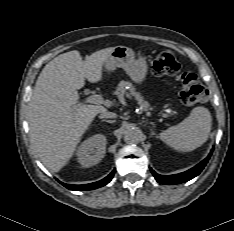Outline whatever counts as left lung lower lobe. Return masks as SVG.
<instances>
[{
	"label": "left lung lower lobe",
	"mask_w": 234,
	"mask_h": 231,
	"mask_svg": "<svg viewBox=\"0 0 234 231\" xmlns=\"http://www.w3.org/2000/svg\"><path fill=\"white\" fill-rule=\"evenodd\" d=\"M211 154H212V151L210 152V154L208 155V157L206 159H204L202 162L197 164L195 167H193L190 170H188L186 172H183V173L165 176V175L157 174L152 169H150V170H151L152 174L154 175L155 179L159 183H162V184H180V183L189 181L192 178L196 177L203 170L205 165L207 164L208 160L211 157Z\"/></svg>",
	"instance_id": "left-lung-lower-lobe-1"
}]
</instances>
